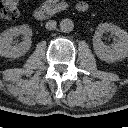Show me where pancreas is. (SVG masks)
Wrapping results in <instances>:
<instances>
[{"label":"pancreas","instance_id":"obj_1","mask_svg":"<svg viewBox=\"0 0 128 128\" xmlns=\"http://www.w3.org/2000/svg\"><path fill=\"white\" fill-rule=\"evenodd\" d=\"M44 6L51 10L52 13H56L61 10H65L68 7V4L63 1L59 2V0H47L44 3Z\"/></svg>","mask_w":128,"mask_h":128}]
</instances>
